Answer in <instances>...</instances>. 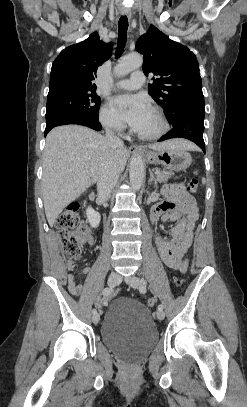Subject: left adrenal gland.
Masks as SVG:
<instances>
[{"mask_svg": "<svg viewBox=\"0 0 247 407\" xmlns=\"http://www.w3.org/2000/svg\"><path fill=\"white\" fill-rule=\"evenodd\" d=\"M152 181H154L155 188L157 189V180H156V178H155L153 172L150 170V178H149V181H148L149 184H150V182H152Z\"/></svg>", "mask_w": 247, "mask_h": 407, "instance_id": "left-adrenal-gland-1", "label": "left adrenal gland"}]
</instances>
